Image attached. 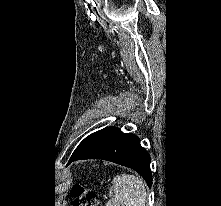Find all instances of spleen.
<instances>
[{
    "instance_id": "3e777b00",
    "label": "spleen",
    "mask_w": 221,
    "mask_h": 206,
    "mask_svg": "<svg viewBox=\"0 0 221 206\" xmlns=\"http://www.w3.org/2000/svg\"><path fill=\"white\" fill-rule=\"evenodd\" d=\"M106 206H145L146 189L143 181L131 174L123 173L113 179Z\"/></svg>"
}]
</instances>
